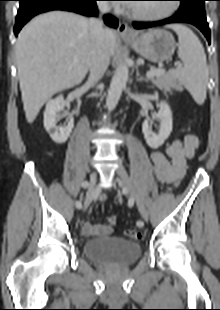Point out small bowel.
I'll return each instance as SVG.
<instances>
[{"mask_svg": "<svg viewBox=\"0 0 220 310\" xmlns=\"http://www.w3.org/2000/svg\"><path fill=\"white\" fill-rule=\"evenodd\" d=\"M198 146V137L194 134H186L182 139L171 141L164 152H151L150 160L154 165L156 180L162 184L178 186L185 175L187 162L194 156ZM99 199L105 200L106 196L101 195ZM82 232L86 236L107 235L111 233V228L84 221Z\"/></svg>", "mask_w": 220, "mask_h": 310, "instance_id": "small-bowel-1", "label": "small bowel"}]
</instances>
